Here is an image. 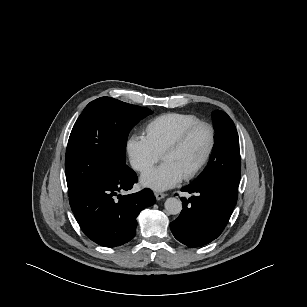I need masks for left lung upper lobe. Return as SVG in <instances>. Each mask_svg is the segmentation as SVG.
I'll return each instance as SVG.
<instances>
[{"label": "left lung upper lobe", "instance_id": "obj_1", "mask_svg": "<svg viewBox=\"0 0 307 307\" xmlns=\"http://www.w3.org/2000/svg\"><path fill=\"white\" fill-rule=\"evenodd\" d=\"M216 136L208 165L192 183H216L237 197L241 174L239 138L232 119L223 111L213 113Z\"/></svg>", "mask_w": 307, "mask_h": 307}]
</instances>
